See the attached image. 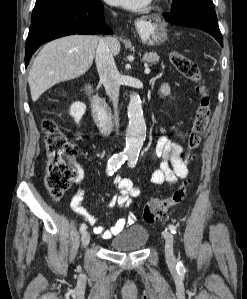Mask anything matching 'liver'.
<instances>
[{
  "instance_id": "1",
  "label": "liver",
  "mask_w": 247,
  "mask_h": 299,
  "mask_svg": "<svg viewBox=\"0 0 247 299\" xmlns=\"http://www.w3.org/2000/svg\"><path fill=\"white\" fill-rule=\"evenodd\" d=\"M113 55H118L120 43L114 37L106 39ZM99 37L70 35L47 43L36 56L29 71L28 82L35 102L57 83L85 74L93 63Z\"/></svg>"
}]
</instances>
